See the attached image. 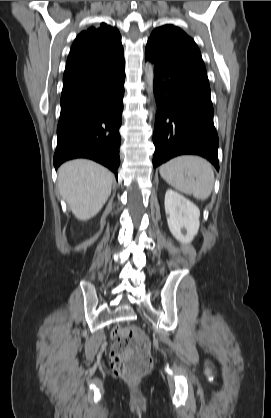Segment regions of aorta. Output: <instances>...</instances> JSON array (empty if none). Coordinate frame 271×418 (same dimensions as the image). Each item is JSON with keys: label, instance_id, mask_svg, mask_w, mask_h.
I'll return each mask as SVG.
<instances>
[{"label": "aorta", "instance_id": "762f6f07", "mask_svg": "<svg viewBox=\"0 0 271 418\" xmlns=\"http://www.w3.org/2000/svg\"><path fill=\"white\" fill-rule=\"evenodd\" d=\"M146 79L148 83V92L153 96L154 69L151 63L147 64Z\"/></svg>", "mask_w": 271, "mask_h": 418}]
</instances>
